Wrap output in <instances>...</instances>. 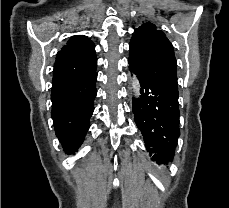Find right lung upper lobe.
Returning a JSON list of instances; mask_svg holds the SVG:
<instances>
[{"instance_id":"cb5924a9","label":"right lung upper lobe","mask_w":229,"mask_h":208,"mask_svg":"<svg viewBox=\"0 0 229 208\" xmlns=\"http://www.w3.org/2000/svg\"><path fill=\"white\" fill-rule=\"evenodd\" d=\"M95 45L87 36L71 37L58 52L53 70L52 91L88 75L97 64Z\"/></svg>"}]
</instances>
